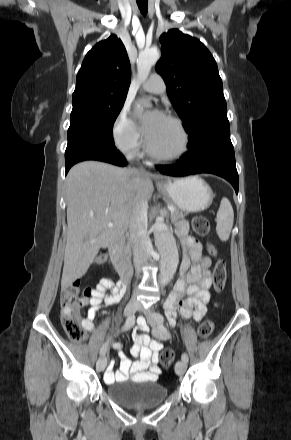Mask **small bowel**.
Listing matches in <instances>:
<instances>
[{
  "mask_svg": "<svg viewBox=\"0 0 291 440\" xmlns=\"http://www.w3.org/2000/svg\"><path fill=\"white\" fill-rule=\"evenodd\" d=\"M175 231L184 246V253L181 274L165 302V312L171 322H175L178 310L183 316L191 317L198 322L206 314L207 303L210 300L209 288L212 279L208 269L211 260L203 254L201 243L188 235V225L185 222H179ZM125 292L126 285L121 282L109 278L101 280L92 294L91 307L86 316L80 319L82 327L89 332H95L94 319L98 313L121 300ZM140 322L145 329V321L141 319ZM132 339L134 344L130 353L139 359L132 362L127 356L120 354L119 365L114 362L108 365L104 375L106 382H120L128 377L135 380H155L160 375L159 351L163 345L151 340L147 334L134 332ZM113 344L119 347L118 342Z\"/></svg>",
  "mask_w": 291,
  "mask_h": 440,
  "instance_id": "obj_1",
  "label": "small bowel"
}]
</instances>
